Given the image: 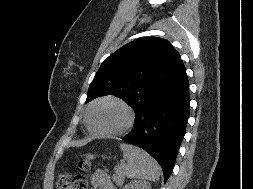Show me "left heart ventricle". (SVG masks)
Segmentation results:
<instances>
[{
    "label": "left heart ventricle",
    "mask_w": 253,
    "mask_h": 189,
    "mask_svg": "<svg viewBox=\"0 0 253 189\" xmlns=\"http://www.w3.org/2000/svg\"><path fill=\"white\" fill-rule=\"evenodd\" d=\"M126 118L125 110L113 102L99 104L91 113V123L100 132H111L121 128Z\"/></svg>",
    "instance_id": "obj_1"
}]
</instances>
